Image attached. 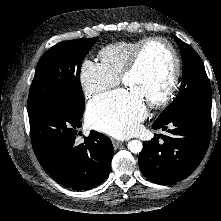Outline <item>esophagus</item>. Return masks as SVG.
<instances>
[{
    "label": "esophagus",
    "mask_w": 221,
    "mask_h": 221,
    "mask_svg": "<svg viewBox=\"0 0 221 221\" xmlns=\"http://www.w3.org/2000/svg\"><path fill=\"white\" fill-rule=\"evenodd\" d=\"M112 143H113L114 148L117 149L121 144H123V141L112 139Z\"/></svg>",
    "instance_id": "esophagus-1"
}]
</instances>
